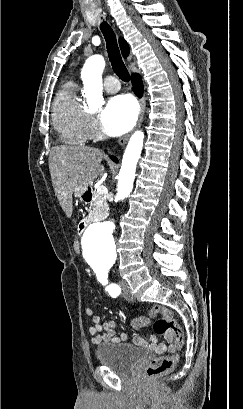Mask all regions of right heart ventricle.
Returning a JSON list of instances; mask_svg holds the SVG:
<instances>
[{
    "instance_id": "obj_1",
    "label": "right heart ventricle",
    "mask_w": 243,
    "mask_h": 409,
    "mask_svg": "<svg viewBox=\"0 0 243 409\" xmlns=\"http://www.w3.org/2000/svg\"><path fill=\"white\" fill-rule=\"evenodd\" d=\"M86 115L76 96L75 84L67 83L56 96L52 109L54 127L65 143L79 145L88 139Z\"/></svg>"
}]
</instances>
